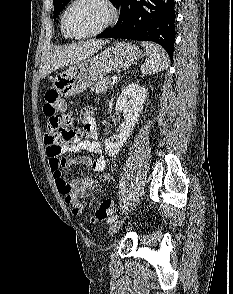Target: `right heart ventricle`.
<instances>
[{
  "label": "right heart ventricle",
  "mask_w": 233,
  "mask_h": 294,
  "mask_svg": "<svg viewBox=\"0 0 233 294\" xmlns=\"http://www.w3.org/2000/svg\"><path fill=\"white\" fill-rule=\"evenodd\" d=\"M62 34L65 36V37H67L65 34H64V32L62 31Z\"/></svg>",
  "instance_id": "obj_1"
}]
</instances>
